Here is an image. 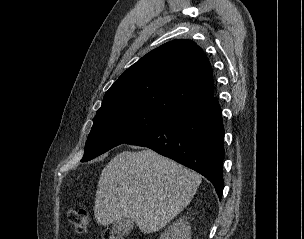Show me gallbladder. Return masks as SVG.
Returning <instances> with one entry per match:
<instances>
[{
    "label": "gallbladder",
    "instance_id": "gallbladder-1",
    "mask_svg": "<svg viewBox=\"0 0 304 239\" xmlns=\"http://www.w3.org/2000/svg\"><path fill=\"white\" fill-rule=\"evenodd\" d=\"M134 228V221L130 218H121L113 222L112 231L118 236L128 235Z\"/></svg>",
    "mask_w": 304,
    "mask_h": 239
}]
</instances>
